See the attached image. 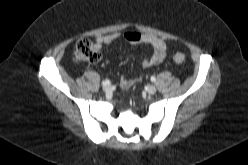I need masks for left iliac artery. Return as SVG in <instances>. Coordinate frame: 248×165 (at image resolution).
I'll return each mask as SVG.
<instances>
[{
	"label": "left iliac artery",
	"mask_w": 248,
	"mask_h": 165,
	"mask_svg": "<svg viewBox=\"0 0 248 165\" xmlns=\"http://www.w3.org/2000/svg\"><path fill=\"white\" fill-rule=\"evenodd\" d=\"M151 81L152 82H155L156 81V78L154 76L151 77Z\"/></svg>",
	"instance_id": "1"
}]
</instances>
